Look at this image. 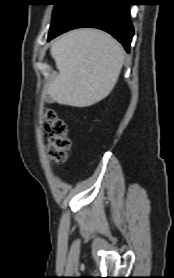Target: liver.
Segmentation results:
<instances>
[{
    "label": "liver",
    "instance_id": "liver-1",
    "mask_svg": "<svg viewBox=\"0 0 174 278\" xmlns=\"http://www.w3.org/2000/svg\"><path fill=\"white\" fill-rule=\"evenodd\" d=\"M59 71L45 88L53 101L89 107L106 98L120 75L124 55L121 45L97 29H77L59 37L51 46Z\"/></svg>",
    "mask_w": 174,
    "mask_h": 278
}]
</instances>
